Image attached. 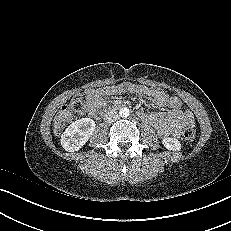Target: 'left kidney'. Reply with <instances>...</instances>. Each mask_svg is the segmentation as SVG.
Listing matches in <instances>:
<instances>
[{"mask_svg": "<svg viewBox=\"0 0 231 231\" xmlns=\"http://www.w3.org/2000/svg\"><path fill=\"white\" fill-rule=\"evenodd\" d=\"M166 149L171 151H179L181 149V143L176 138L166 137L162 140Z\"/></svg>", "mask_w": 231, "mask_h": 231, "instance_id": "5707ae66", "label": "left kidney"}]
</instances>
